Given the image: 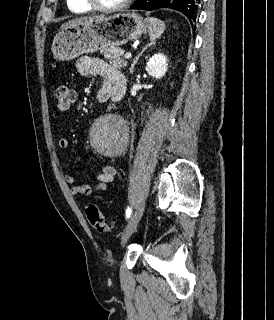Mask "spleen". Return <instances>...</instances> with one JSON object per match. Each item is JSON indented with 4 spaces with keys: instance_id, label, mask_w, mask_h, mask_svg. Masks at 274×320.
I'll list each match as a JSON object with an SVG mask.
<instances>
[{
    "instance_id": "3e777b00",
    "label": "spleen",
    "mask_w": 274,
    "mask_h": 320,
    "mask_svg": "<svg viewBox=\"0 0 274 320\" xmlns=\"http://www.w3.org/2000/svg\"><path fill=\"white\" fill-rule=\"evenodd\" d=\"M147 28L149 30L150 40H156L162 36L165 26L162 20H157V18H146L145 20Z\"/></svg>"
}]
</instances>
